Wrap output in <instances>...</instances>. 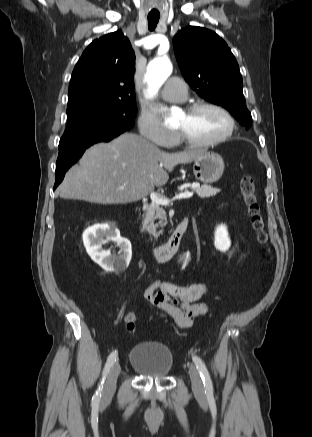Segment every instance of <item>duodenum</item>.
<instances>
[{
  "instance_id": "obj_1",
  "label": "duodenum",
  "mask_w": 312,
  "mask_h": 437,
  "mask_svg": "<svg viewBox=\"0 0 312 437\" xmlns=\"http://www.w3.org/2000/svg\"><path fill=\"white\" fill-rule=\"evenodd\" d=\"M188 225L189 219L185 217L177 224L175 230L165 244L149 246L148 251L151 257L159 263L169 261L178 250Z\"/></svg>"
}]
</instances>
